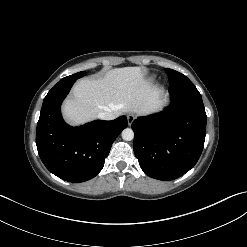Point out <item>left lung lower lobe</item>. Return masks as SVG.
Listing matches in <instances>:
<instances>
[{
	"label": "left lung lower lobe",
	"mask_w": 247,
	"mask_h": 247,
	"mask_svg": "<svg viewBox=\"0 0 247 247\" xmlns=\"http://www.w3.org/2000/svg\"><path fill=\"white\" fill-rule=\"evenodd\" d=\"M165 112L132 123L134 153L148 176L168 181L188 172L198 161L205 141L207 116L195 86L170 87Z\"/></svg>",
	"instance_id": "left-lung-lower-lobe-1"
}]
</instances>
